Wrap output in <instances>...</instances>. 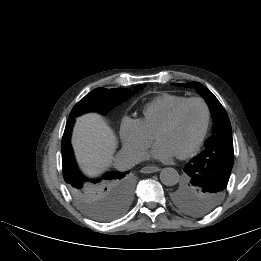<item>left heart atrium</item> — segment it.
<instances>
[{
  "instance_id": "39dd6f15",
  "label": "left heart atrium",
  "mask_w": 261,
  "mask_h": 261,
  "mask_svg": "<svg viewBox=\"0 0 261 261\" xmlns=\"http://www.w3.org/2000/svg\"><path fill=\"white\" fill-rule=\"evenodd\" d=\"M177 155L176 151L166 142L158 141L150 156L156 160L165 161Z\"/></svg>"
}]
</instances>
